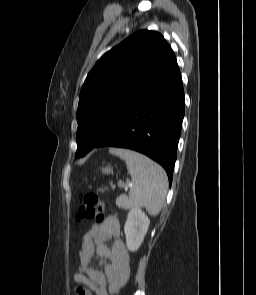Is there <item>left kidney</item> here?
I'll list each match as a JSON object with an SVG mask.
<instances>
[{
  "label": "left kidney",
  "mask_w": 256,
  "mask_h": 295,
  "mask_svg": "<svg viewBox=\"0 0 256 295\" xmlns=\"http://www.w3.org/2000/svg\"><path fill=\"white\" fill-rule=\"evenodd\" d=\"M150 220L148 216L139 208L129 211L124 226L126 245L130 251H136L141 246L147 233Z\"/></svg>",
  "instance_id": "1"
}]
</instances>
